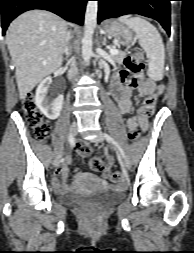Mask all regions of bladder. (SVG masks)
Masks as SVG:
<instances>
[{"instance_id":"31cf9c89","label":"bladder","mask_w":194,"mask_h":253,"mask_svg":"<svg viewBox=\"0 0 194 253\" xmlns=\"http://www.w3.org/2000/svg\"><path fill=\"white\" fill-rule=\"evenodd\" d=\"M123 192L117 189L108 188L90 193H71L59 197L64 204H91L95 206H106L119 201Z\"/></svg>"}]
</instances>
